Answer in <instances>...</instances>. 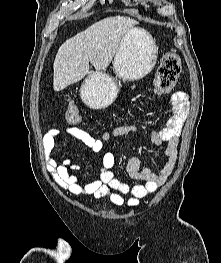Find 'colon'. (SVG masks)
I'll return each instance as SVG.
<instances>
[{"label": "colon", "instance_id": "obj_1", "mask_svg": "<svg viewBox=\"0 0 221 263\" xmlns=\"http://www.w3.org/2000/svg\"><path fill=\"white\" fill-rule=\"evenodd\" d=\"M181 71V59L176 49L167 51L157 71L155 80V92L157 95L168 93L175 85ZM65 118L70 124L81 122V114L72 102H69L65 110Z\"/></svg>", "mask_w": 221, "mask_h": 263}]
</instances>
